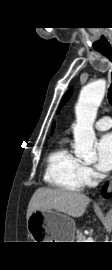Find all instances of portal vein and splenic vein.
Returning a JSON list of instances; mask_svg holds the SVG:
<instances>
[{"mask_svg":"<svg viewBox=\"0 0 112 270\" xmlns=\"http://www.w3.org/2000/svg\"><path fill=\"white\" fill-rule=\"evenodd\" d=\"M85 242H94V241H93V238L90 236L87 238V240H85Z\"/></svg>","mask_w":112,"mask_h":270,"instance_id":"obj_1","label":"portal vein and splenic vein"}]
</instances>
